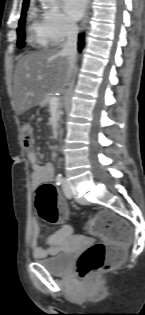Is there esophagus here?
<instances>
[{"mask_svg":"<svg viewBox=\"0 0 145 315\" xmlns=\"http://www.w3.org/2000/svg\"><path fill=\"white\" fill-rule=\"evenodd\" d=\"M90 9H91V0H87L86 11H85L84 19L82 22V30L85 28V26L87 24L89 14H90Z\"/></svg>","mask_w":145,"mask_h":315,"instance_id":"1","label":"esophagus"}]
</instances>
